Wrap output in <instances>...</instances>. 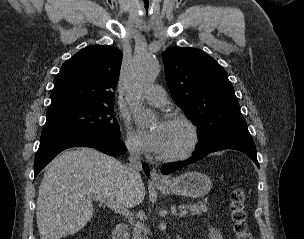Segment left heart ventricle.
Masks as SVG:
<instances>
[{
  "instance_id": "obj_1",
  "label": "left heart ventricle",
  "mask_w": 304,
  "mask_h": 239,
  "mask_svg": "<svg viewBox=\"0 0 304 239\" xmlns=\"http://www.w3.org/2000/svg\"><path fill=\"white\" fill-rule=\"evenodd\" d=\"M167 132L161 154L173 153L182 149L188 141L187 129L178 123L167 122Z\"/></svg>"
}]
</instances>
